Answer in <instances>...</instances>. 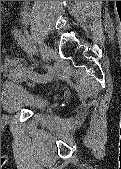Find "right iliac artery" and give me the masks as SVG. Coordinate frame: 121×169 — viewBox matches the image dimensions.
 I'll return each instance as SVG.
<instances>
[{
  "label": "right iliac artery",
  "mask_w": 121,
  "mask_h": 169,
  "mask_svg": "<svg viewBox=\"0 0 121 169\" xmlns=\"http://www.w3.org/2000/svg\"><path fill=\"white\" fill-rule=\"evenodd\" d=\"M15 37L17 41L24 47V49L31 54H36L37 50L33 42L29 37L24 36L20 31L16 30ZM32 80L37 82H45L48 80V74H36L32 75Z\"/></svg>",
  "instance_id": "1"
}]
</instances>
